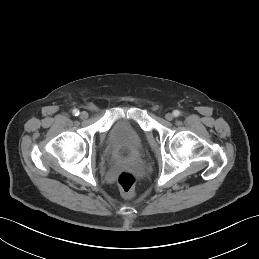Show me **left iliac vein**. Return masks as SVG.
Instances as JSON below:
<instances>
[{"label":"left iliac vein","instance_id":"1","mask_svg":"<svg viewBox=\"0 0 259 259\" xmlns=\"http://www.w3.org/2000/svg\"><path fill=\"white\" fill-rule=\"evenodd\" d=\"M166 120L171 121L174 118V115L172 113H167L165 115Z\"/></svg>","mask_w":259,"mask_h":259}]
</instances>
